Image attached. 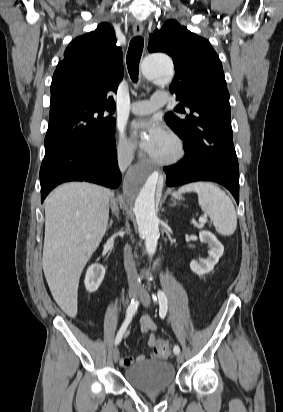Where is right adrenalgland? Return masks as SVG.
<instances>
[{
	"label": "right adrenal gland",
	"instance_id": "right-adrenal-gland-1",
	"mask_svg": "<svg viewBox=\"0 0 283 412\" xmlns=\"http://www.w3.org/2000/svg\"><path fill=\"white\" fill-rule=\"evenodd\" d=\"M112 224H113V220L111 219L110 222H109L108 228L111 227Z\"/></svg>",
	"mask_w": 283,
	"mask_h": 412
}]
</instances>
